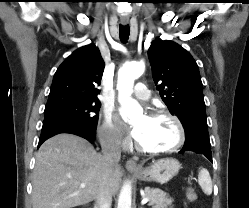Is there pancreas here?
<instances>
[{
  "label": "pancreas",
  "instance_id": "cf45deb5",
  "mask_svg": "<svg viewBox=\"0 0 249 208\" xmlns=\"http://www.w3.org/2000/svg\"><path fill=\"white\" fill-rule=\"evenodd\" d=\"M144 194L149 199V206L153 208H167L173 202L166 192L158 188L145 187Z\"/></svg>",
  "mask_w": 249,
  "mask_h": 208
}]
</instances>
